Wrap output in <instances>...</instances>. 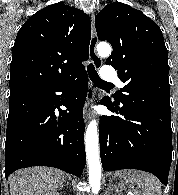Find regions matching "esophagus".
I'll return each mask as SVG.
<instances>
[{
    "instance_id": "34e87169",
    "label": "esophagus",
    "mask_w": 178,
    "mask_h": 195,
    "mask_svg": "<svg viewBox=\"0 0 178 195\" xmlns=\"http://www.w3.org/2000/svg\"><path fill=\"white\" fill-rule=\"evenodd\" d=\"M90 17H91L92 33H91V39H90V44H89V55H90L92 62L95 65V67L98 69L102 65V60L96 52L98 37H97L96 29H95V15H94V13H92ZM93 97H94L93 91H91V90L88 91L87 100L85 103L84 113H83L85 122H88L92 117V112H91L89 106L93 102Z\"/></svg>"
}]
</instances>
